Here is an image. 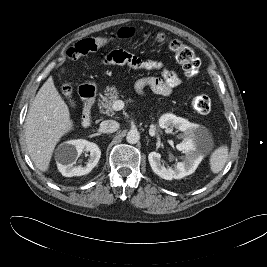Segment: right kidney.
Instances as JSON below:
<instances>
[{
    "label": "right kidney",
    "mask_w": 267,
    "mask_h": 267,
    "mask_svg": "<svg viewBox=\"0 0 267 267\" xmlns=\"http://www.w3.org/2000/svg\"><path fill=\"white\" fill-rule=\"evenodd\" d=\"M84 151L90 152L86 166H74L77 158ZM100 156L101 150L97 144L83 139L70 140L60 151L58 170L65 177L82 176L88 174L97 165Z\"/></svg>",
    "instance_id": "1"
}]
</instances>
